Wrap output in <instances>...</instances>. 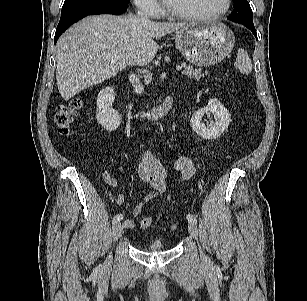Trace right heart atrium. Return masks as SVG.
I'll use <instances>...</instances> for the list:
<instances>
[{
  "mask_svg": "<svg viewBox=\"0 0 307 301\" xmlns=\"http://www.w3.org/2000/svg\"><path fill=\"white\" fill-rule=\"evenodd\" d=\"M132 2L139 12L149 17H158L162 12L158 0H132Z\"/></svg>",
  "mask_w": 307,
  "mask_h": 301,
  "instance_id": "1",
  "label": "right heart atrium"
}]
</instances>
